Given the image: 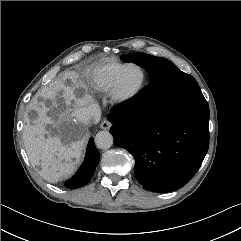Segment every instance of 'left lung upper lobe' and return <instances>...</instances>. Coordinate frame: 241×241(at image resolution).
Instances as JSON below:
<instances>
[{
    "mask_svg": "<svg viewBox=\"0 0 241 241\" xmlns=\"http://www.w3.org/2000/svg\"><path fill=\"white\" fill-rule=\"evenodd\" d=\"M124 62H133L149 73V78L161 76L169 86L170 95L173 99L200 90L196 80L182 72L172 62L161 57H155L143 53H131L122 56Z\"/></svg>",
    "mask_w": 241,
    "mask_h": 241,
    "instance_id": "left-lung-upper-lobe-1",
    "label": "left lung upper lobe"
}]
</instances>
